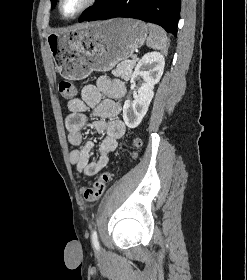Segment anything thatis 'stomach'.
Listing matches in <instances>:
<instances>
[{
	"label": "stomach",
	"instance_id": "0dacf381",
	"mask_svg": "<svg viewBox=\"0 0 247 280\" xmlns=\"http://www.w3.org/2000/svg\"><path fill=\"white\" fill-rule=\"evenodd\" d=\"M147 34L144 22L116 18L51 33L47 45L60 75L82 80L93 71L107 72L127 60L143 45Z\"/></svg>",
	"mask_w": 247,
	"mask_h": 280
}]
</instances>
